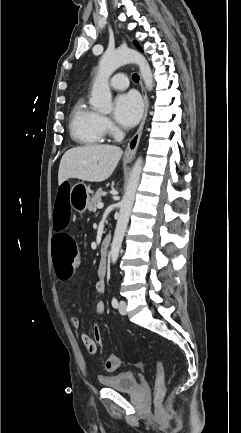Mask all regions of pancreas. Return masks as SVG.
Segmentation results:
<instances>
[{
	"instance_id": "obj_1",
	"label": "pancreas",
	"mask_w": 241,
	"mask_h": 433,
	"mask_svg": "<svg viewBox=\"0 0 241 433\" xmlns=\"http://www.w3.org/2000/svg\"><path fill=\"white\" fill-rule=\"evenodd\" d=\"M103 191L101 189L97 190V192L90 198L88 203V210L91 212H95L97 208V204L101 202Z\"/></svg>"
}]
</instances>
